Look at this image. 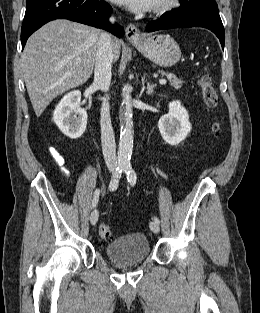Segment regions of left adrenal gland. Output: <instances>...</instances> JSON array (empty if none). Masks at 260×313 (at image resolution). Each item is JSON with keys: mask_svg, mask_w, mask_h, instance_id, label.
<instances>
[{"mask_svg": "<svg viewBox=\"0 0 260 313\" xmlns=\"http://www.w3.org/2000/svg\"><path fill=\"white\" fill-rule=\"evenodd\" d=\"M142 85H143V89H145V75H144V77L142 78ZM155 87H156V84H150V83H148V84H147V91H146V93H147L148 95H152Z\"/></svg>", "mask_w": 260, "mask_h": 313, "instance_id": "1", "label": "left adrenal gland"}]
</instances>
